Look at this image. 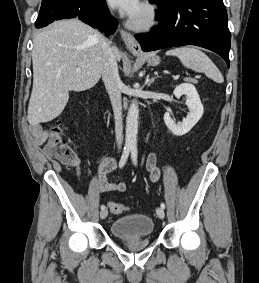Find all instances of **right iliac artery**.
Here are the masks:
<instances>
[{
	"label": "right iliac artery",
	"instance_id": "82829eb1",
	"mask_svg": "<svg viewBox=\"0 0 259 283\" xmlns=\"http://www.w3.org/2000/svg\"><path fill=\"white\" fill-rule=\"evenodd\" d=\"M130 150H131V148L129 146L124 147L123 154H122L120 162H119L120 168H122L125 165L127 158L129 156ZM103 209H105V205H101V210H103Z\"/></svg>",
	"mask_w": 259,
	"mask_h": 283
}]
</instances>
